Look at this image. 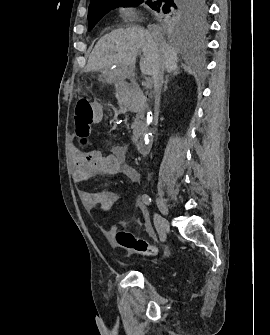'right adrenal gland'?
<instances>
[{"label": "right adrenal gland", "instance_id": "right-adrenal-gland-1", "mask_svg": "<svg viewBox=\"0 0 270 335\" xmlns=\"http://www.w3.org/2000/svg\"><path fill=\"white\" fill-rule=\"evenodd\" d=\"M168 82H170L169 80V76H166L165 78V82H164V92H166L167 88H168Z\"/></svg>", "mask_w": 270, "mask_h": 335}]
</instances>
